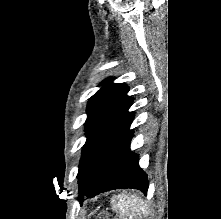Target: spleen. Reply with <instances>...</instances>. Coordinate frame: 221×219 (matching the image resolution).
I'll return each mask as SVG.
<instances>
[{"mask_svg":"<svg viewBox=\"0 0 221 219\" xmlns=\"http://www.w3.org/2000/svg\"><path fill=\"white\" fill-rule=\"evenodd\" d=\"M113 210L120 219H142L149 214L148 206L135 194H119L111 200Z\"/></svg>","mask_w":221,"mask_h":219,"instance_id":"spleen-1","label":"spleen"}]
</instances>
